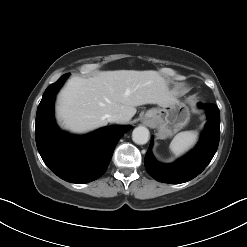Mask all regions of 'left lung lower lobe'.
<instances>
[{
  "mask_svg": "<svg viewBox=\"0 0 247 247\" xmlns=\"http://www.w3.org/2000/svg\"><path fill=\"white\" fill-rule=\"evenodd\" d=\"M199 107L207 110L208 122L198 145L186 156L172 164H161L152 155L151 141L144 163L147 172L157 181L172 184L187 182L199 175L216 153L220 138L219 109L211 103H199Z\"/></svg>",
  "mask_w": 247,
  "mask_h": 247,
  "instance_id": "obj_1",
  "label": "left lung lower lobe"
}]
</instances>
